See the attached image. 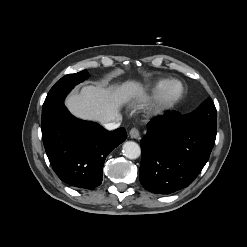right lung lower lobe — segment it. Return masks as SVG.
I'll list each match as a JSON object with an SVG mask.
<instances>
[{
	"instance_id": "right-lung-lower-lobe-1",
	"label": "right lung lower lobe",
	"mask_w": 247,
	"mask_h": 247,
	"mask_svg": "<svg viewBox=\"0 0 247 247\" xmlns=\"http://www.w3.org/2000/svg\"><path fill=\"white\" fill-rule=\"evenodd\" d=\"M41 130L57 176L83 189L101 184L106 157L126 139L124 128L107 131L95 122L75 118L64 104L42 113Z\"/></svg>"
}]
</instances>
